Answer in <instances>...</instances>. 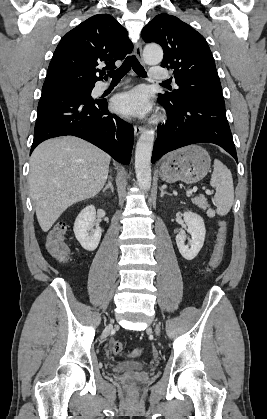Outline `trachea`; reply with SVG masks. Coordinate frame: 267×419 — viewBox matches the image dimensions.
<instances>
[{
  "label": "trachea",
  "instance_id": "obj_1",
  "mask_svg": "<svg viewBox=\"0 0 267 419\" xmlns=\"http://www.w3.org/2000/svg\"><path fill=\"white\" fill-rule=\"evenodd\" d=\"M131 68L136 72L137 75L143 78L147 77L146 71L135 56H128L118 69L109 71L108 75L112 78V81H120L121 78L125 76Z\"/></svg>",
  "mask_w": 267,
  "mask_h": 419
}]
</instances>
